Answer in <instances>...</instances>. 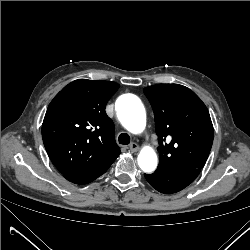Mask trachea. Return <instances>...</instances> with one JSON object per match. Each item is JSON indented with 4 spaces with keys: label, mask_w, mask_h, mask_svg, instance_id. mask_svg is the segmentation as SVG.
Segmentation results:
<instances>
[{
    "label": "trachea",
    "mask_w": 250,
    "mask_h": 250,
    "mask_svg": "<svg viewBox=\"0 0 250 250\" xmlns=\"http://www.w3.org/2000/svg\"><path fill=\"white\" fill-rule=\"evenodd\" d=\"M118 141L122 145H128L130 143V137L127 133H121L118 137Z\"/></svg>",
    "instance_id": "trachea-1"
}]
</instances>
